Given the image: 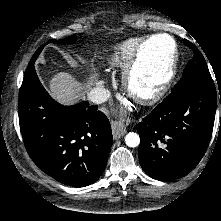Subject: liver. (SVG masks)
<instances>
[{
  "mask_svg": "<svg viewBox=\"0 0 221 221\" xmlns=\"http://www.w3.org/2000/svg\"><path fill=\"white\" fill-rule=\"evenodd\" d=\"M95 75L82 85L68 72H58L49 81V94L60 104L72 105L82 99L95 81Z\"/></svg>",
  "mask_w": 221,
  "mask_h": 221,
  "instance_id": "obj_1",
  "label": "liver"
}]
</instances>
